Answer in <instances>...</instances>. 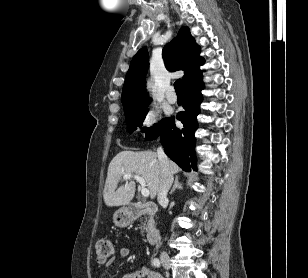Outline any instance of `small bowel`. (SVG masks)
I'll use <instances>...</instances> for the list:
<instances>
[{
    "mask_svg": "<svg viewBox=\"0 0 308 278\" xmlns=\"http://www.w3.org/2000/svg\"><path fill=\"white\" fill-rule=\"evenodd\" d=\"M131 254L128 248H120L115 255H113L110 260L108 261L107 265H110L118 258H126L129 257ZM123 278H162L156 271L142 266L137 269H133L127 272Z\"/></svg>",
    "mask_w": 308,
    "mask_h": 278,
    "instance_id": "c3829d8e",
    "label": "small bowel"
}]
</instances>
